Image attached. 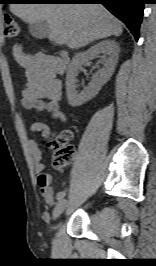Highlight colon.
<instances>
[{"label": "colon", "mask_w": 156, "mask_h": 266, "mask_svg": "<svg viewBox=\"0 0 156 266\" xmlns=\"http://www.w3.org/2000/svg\"><path fill=\"white\" fill-rule=\"evenodd\" d=\"M4 32L8 39H16L20 36V26L11 15L4 17ZM71 138L72 133L70 131H62L48 143L53 148V165L58 169L65 168L73 159L74 151L70 144Z\"/></svg>", "instance_id": "1"}]
</instances>
